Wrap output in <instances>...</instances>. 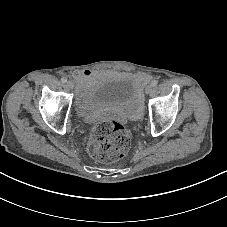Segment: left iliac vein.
<instances>
[{"label": "left iliac vein", "instance_id": "1", "mask_svg": "<svg viewBox=\"0 0 227 227\" xmlns=\"http://www.w3.org/2000/svg\"><path fill=\"white\" fill-rule=\"evenodd\" d=\"M152 90H153V86L148 85V86L146 87V93H147V94L151 93Z\"/></svg>", "mask_w": 227, "mask_h": 227}]
</instances>
